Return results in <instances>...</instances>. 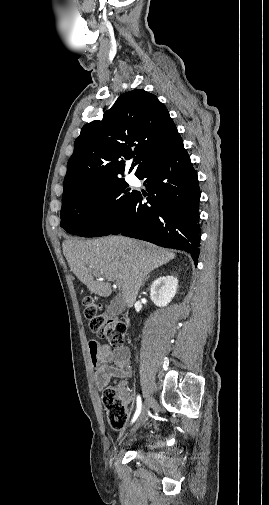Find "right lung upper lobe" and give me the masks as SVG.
Here are the masks:
<instances>
[{"label": "right lung upper lobe", "mask_w": 269, "mask_h": 505, "mask_svg": "<svg viewBox=\"0 0 269 505\" xmlns=\"http://www.w3.org/2000/svg\"><path fill=\"white\" fill-rule=\"evenodd\" d=\"M182 143L167 108L141 89L122 94L102 120L83 126L67 164L62 202L77 193L120 180L125 160L135 175Z\"/></svg>", "instance_id": "obj_1"}]
</instances>
